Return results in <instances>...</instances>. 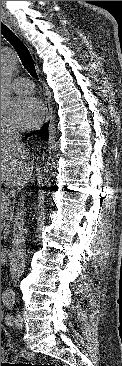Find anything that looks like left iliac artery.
Masks as SVG:
<instances>
[{
    "mask_svg": "<svg viewBox=\"0 0 122 366\" xmlns=\"http://www.w3.org/2000/svg\"><path fill=\"white\" fill-rule=\"evenodd\" d=\"M4 304L6 305V307L9 310H12L13 308V304H14V300L12 298H8L4 300ZM5 321L8 325H13L15 318L12 314H7L5 317Z\"/></svg>",
    "mask_w": 122,
    "mask_h": 366,
    "instance_id": "44dca946",
    "label": "left iliac artery"
}]
</instances>
